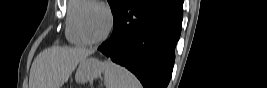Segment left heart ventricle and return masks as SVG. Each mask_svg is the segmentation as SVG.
Instances as JSON below:
<instances>
[{
  "mask_svg": "<svg viewBox=\"0 0 267 88\" xmlns=\"http://www.w3.org/2000/svg\"><path fill=\"white\" fill-rule=\"evenodd\" d=\"M83 27L91 39L102 36L107 27L105 12L97 7H89L83 15Z\"/></svg>",
  "mask_w": 267,
  "mask_h": 88,
  "instance_id": "1",
  "label": "left heart ventricle"
}]
</instances>
